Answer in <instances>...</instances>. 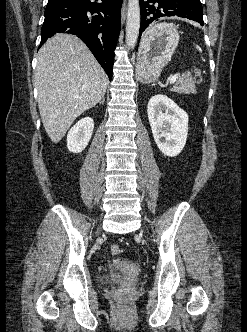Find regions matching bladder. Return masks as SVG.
Masks as SVG:
<instances>
[{
	"instance_id": "obj_1",
	"label": "bladder",
	"mask_w": 247,
	"mask_h": 332,
	"mask_svg": "<svg viewBox=\"0 0 247 332\" xmlns=\"http://www.w3.org/2000/svg\"><path fill=\"white\" fill-rule=\"evenodd\" d=\"M125 273H126V270L124 268H121V269L111 271L107 274L100 276L99 280L102 284L118 282L121 279H123Z\"/></svg>"
}]
</instances>
